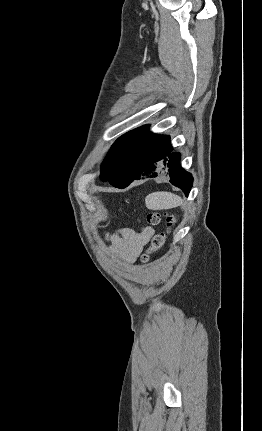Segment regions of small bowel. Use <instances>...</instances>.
I'll return each mask as SVG.
<instances>
[{"label": "small bowel", "mask_w": 262, "mask_h": 431, "mask_svg": "<svg viewBox=\"0 0 262 431\" xmlns=\"http://www.w3.org/2000/svg\"><path fill=\"white\" fill-rule=\"evenodd\" d=\"M152 232L150 228L141 231L123 228L119 231V236L111 237L112 248L119 251L129 263H134L143 246L150 240Z\"/></svg>", "instance_id": "1"}]
</instances>
